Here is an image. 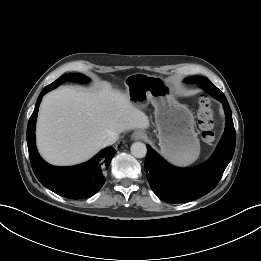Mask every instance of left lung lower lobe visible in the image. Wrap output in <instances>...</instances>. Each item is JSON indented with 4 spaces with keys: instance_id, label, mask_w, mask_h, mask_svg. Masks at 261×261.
Listing matches in <instances>:
<instances>
[{
    "instance_id": "0a47b994",
    "label": "left lung lower lobe",
    "mask_w": 261,
    "mask_h": 261,
    "mask_svg": "<svg viewBox=\"0 0 261 261\" xmlns=\"http://www.w3.org/2000/svg\"><path fill=\"white\" fill-rule=\"evenodd\" d=\"M194 81L223 103L227 120L226 129L212 157L192 169L171 166L147 146L144 164L146 176L157 197L168 203L190 202L209 193L221 179L235 150L236 135L227 99L207 78L198 76Z\"/></svg>"
}]
</instances>
